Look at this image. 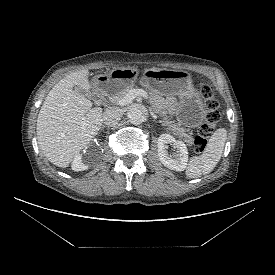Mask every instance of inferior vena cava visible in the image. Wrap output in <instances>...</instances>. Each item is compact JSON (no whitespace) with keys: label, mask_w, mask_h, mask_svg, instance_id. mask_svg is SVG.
Instances as JSON below:
<instances>
[{"label":"inferior vena cava","mask_w":275,"mask_h":275,"mask_svg":"<svg viewBox=\"0 0 275 275\" xmlns=\"http://www.w3.org/2000/svg\"><path fill=\"white\" fill-rule=\"evenodd\" d=\"M122 113L117 108H111L104 112L103 121L105 125H113L120 120Z\"/></svg>","instance_id":"obj_1"}]
</instances>
